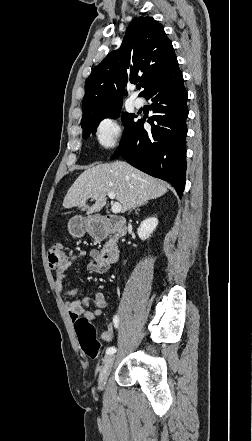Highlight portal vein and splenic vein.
<instances>
[{
  "label": "portal vein and splenic vein",
  "mask_w": 252,
  "mask_h": 441,
  "mask_svg": "<svg viewBox=\"0 0 252 441\" xmlns=\"http://www.w3.org/2000/svg\"><path fill=\"white\" fill-rule=\"evenodd\" d=\"M108 197L110 198V199H115V194L113 193V192H109L108 193ZM94 198H97V194H95L94 195ZM121 205H120V203H118V202H114L113 204H112V206H111V211L113 212V213H119L120 211H121Z\"/></svg>",
  "instance_id": "portal-vein-and-splenic-vein-1"
}]
</instances>
